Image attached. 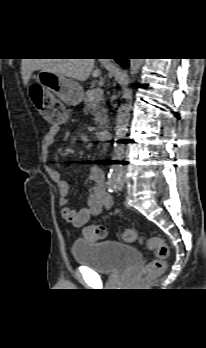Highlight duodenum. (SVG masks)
<instances>
[{
    "instance_id": "obj_1",
    "label": "duodenum",
    "mask_w": 206,
    "mask_h": 348,
    "mask_svg": "<svg viewBox=\"0 0 206 348\" xmlns=\"http://www.w3.org/2000/svg\"><path fill=\"white\" fill-rule=\"evenodd\" d=\"M111 132L108 130H104L102 132H100L99 134V139L100 140H108L110 138Z\"/></svg>"
}]
</instances>
